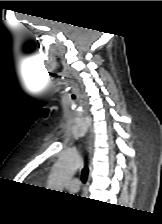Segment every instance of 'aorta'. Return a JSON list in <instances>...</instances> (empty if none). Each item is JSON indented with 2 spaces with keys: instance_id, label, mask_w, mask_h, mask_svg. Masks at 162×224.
I'll return each instance as SVG.
<instances>
[{
  "instance_id": "aorta-1",
  "label": "aorta",
  "mask_w": 162,
  "mask_h": 224,
  "mask_svg": "<svg viewBox=\"0 0 162 224\" xmlns=\"http://www.w3.org/2000/svg\"><path fill=\"white\" fill-rule=\"evenodd\" d=\"M81 165V158L77 154H66L60 157L53 167L48 187L60 191L63 184L69 180Z\"/></svg>"
}]
</instances>
